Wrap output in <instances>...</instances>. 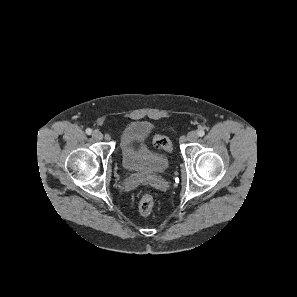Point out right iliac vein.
<instances>
[{"label":"right iliac vein","instance_id":"right-iliac-vein-1","mask_svg":"<svg viewBox=\"0 0 297 297\" xmlns=\"http://www.w3.org/2000/svg\"><path fill=\"white\" fill-rule=\"evenodd\" d=\"M92 136H93L94 139L99 140V141L103 139V134L98 130H95L92 133Z\"/></svg>","mask_w":297,"mask_h":297}]
</instances>
